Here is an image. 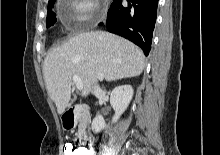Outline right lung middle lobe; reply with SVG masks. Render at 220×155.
Segmentation results:
<instances>
[{"instance_id": "right-lung-middle-lobe-1", "label": "right lung middle lobe", "mask_w": 220, "mask_h": 155, "mask_svg": "<svg viewBox=\"0 0 220 155\" xmlns=\"http://www.w3.org/2000/svg\"><path fill=\"white\" fill-rule=\"evenodd\" d=\"M55 0L48 4V13H47V19H46V25L47 27L52 26L56 21V14L52 12V5L54 4Z\"/></svg>"}]
</instances>
